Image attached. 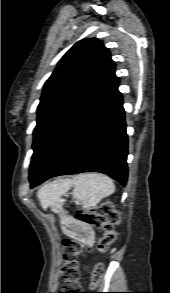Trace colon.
Instances as JSON below:
<instances>
[{
    "mask_svg": "<svg viewBox=\"0 0 170 293\" xmlns=\"http://www.w3.org/2000/svg\"><path fill=\"white\" fill-rule=\"evenodd\" d=\"M78 221L82 224L91 225L102 229L103 234L98 239L96 251L104 253L109 245L117 238V225L121 222V216L112 202H105L101 205V211L98 213L83 211L77 212ZM73 223L69 218H64L63 228L70 230ZM83 249L80 243L72 240L63 241L62 260L63 265L61 273L63 276V290L56 293H89L82 292L80 287V274L78 270V258ZM88 253L93 249L87 248ZM104 269L101 264L96 266L92 276V284H97L103 277Z\"/></svg>",
    "mask_w": 170,
    "mask_h": 293,
    "instance_id": "colon-1",
    "label": "colon"
}]
</instances>
